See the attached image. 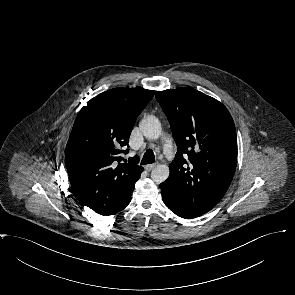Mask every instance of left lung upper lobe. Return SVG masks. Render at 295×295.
Here are the masks:
<instances>
[{"mask_svg": "<svg viewBox=\"0 0 295 295\" xmlns=\"http://www.w3.org/2000/svg\"><path fill=\"white\" fill-rule=\"evenodd\" d=\"M156 99L178 148L164 183L193 212L202 215L223 198L234 176V122L221 102L193 88L157 91Z\"/></svg>", "mask_w": 295, "mask_h": 295, "instance_id": "1", "label": "left lung upper lobe"}]
</instances>
